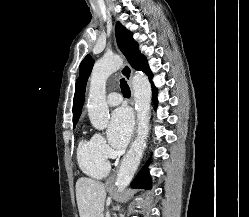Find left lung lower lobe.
<instances>
[{"mask_svg":"<svg viewBox=\"0 0 249 217\" xmlns=\"http://www.w3.org/2000/svg\"><path fill=\"white\" fill-rule=\"evenodd\" d=\"M146 74L149 76V79L152 80L153 77L152 72L149 70L146 72ZM152 90H153L154 102L155 105H157V89L154 87L153 83H152ZM131 186L133 188L151 189L150 176L146 167H144L140 171L138 176L132 182Z\"/></svg>","mask_w":249,"mask_h":217,"instance_id":"1","label":"left lung lower lobe"}]
</instances>
